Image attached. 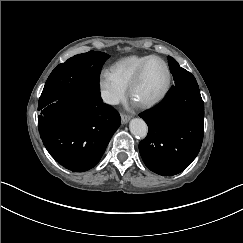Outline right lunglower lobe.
Listing matches in <instances>:
<instances>
[{"label":"right lung lower lobe","mask_w":243,"mask_h":243,"mask_svg":"<svg viewBox=\"0 0 243 243\" xmlns=\"http://www.w3.org/2000/svg\"><path fill=\"white\" fill-rule=\"evenodd\" d=\"M121 118L100 94L69 91L40 110V137L50 155L73 172L93 168L101 159Z\"/></svg>","instance_id":"right-lung-lower-lobe-1"}]
</instances>
